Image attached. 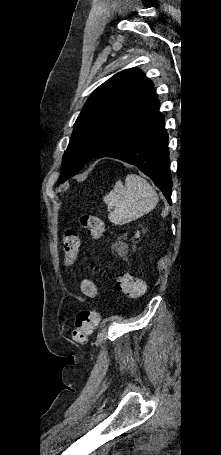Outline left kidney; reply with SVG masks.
<instances>
[{"label":"left kidney","mask_w":221,"mask_h":455,"mask_svg":"<svg viewBox=\"0 0 221 455\" xmlns=\"http://www.w3.org/2000/svg\"><path fill=\"white\" fill-rule=\"evenodd\" d=\"M135 237H136V238H139V237H140V232H139V231H137V233L135 234Z\"/></svg>","instance_id":"1"}]
</instances>
